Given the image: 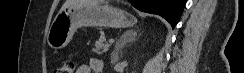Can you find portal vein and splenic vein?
Instances as JSON below:
<instances>
[{"label": "portal vein and splenic vein", "instance_id": "18ae733b", "mask_svg": "<svg viewBox=\"0 0 244 73\" xmlns=\"http://www.w3.org/2000/svg\"><path fill=\"white\" fill-rule=\"evenodd\" d=\"M109 43H114V39H109Z\"/></svg>", "mask_w": 244, "mask_h": 73}]
</instances>
